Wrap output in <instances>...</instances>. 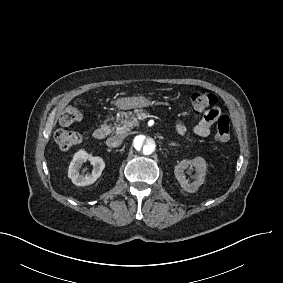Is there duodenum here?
Returning <instances> with one entry per match:
<instances>
[{
    "mask_svg": "<svg viewBox=\"0 0 283 283\" xmlns=\"http://www.w3.org/2000/svg\"><path fill=\"white\" fill-rule=\"evenodd\" d=\"M109 132L110 127L107 124H103L94 130L93 136L97 140H104L109 135Z\"/></svg>",
    "mask_w": 283,
    "mask_h": 283,
    "instance_id": "1",
    "label": "duodenum"
}]
</instances>
